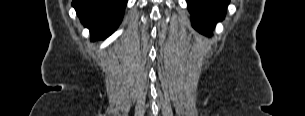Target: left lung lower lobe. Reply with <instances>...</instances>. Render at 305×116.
I'll return each mask as SVG.
<instances>
[{"label":"left lung lower lobe","instance_id":"left-lung-lower-lobe-1","mask_svg":"<svg viewBox=\"0 0 305 116\" xmlns=\"http://www.w3.org/2000/svg\"><path fill=\"white\" fill-rule=\"evenodd\" d=\"M192 15L193 27L200 33L211 35L218 21L224 19L229 0H186Z\"/></svg>","mask_w":305,"mask_h":116}]
</instances>
